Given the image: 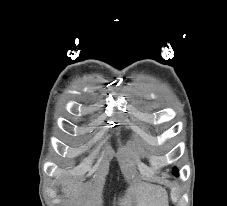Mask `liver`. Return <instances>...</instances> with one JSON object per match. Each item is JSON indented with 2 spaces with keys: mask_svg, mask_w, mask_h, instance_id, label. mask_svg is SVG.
I'll list each match as a JSON object with an SVG mask.
<instances>
[{
  "mask_svg": "<svg viewBox=\"0 0 227 206\" xmlns=\"http://www.w3.org/2000/svg\"><path fill=\"white\" fill-rule=\"evenodd\" d=\"M83 187L81 183L70 182L63 191L67 196L73 200L79 199L83 195ZM130 194L134 196L136 206H166L167 193L166 191L156 185L149 183H142L136 188H131ZM130 197L124 198L120 205L129 206Z\"/></svg>",
  "mask_w": 227,
  "mask_h": 206,
  "instance_id": "6515ba94",
  "label": "liver"
}]
</instances>
